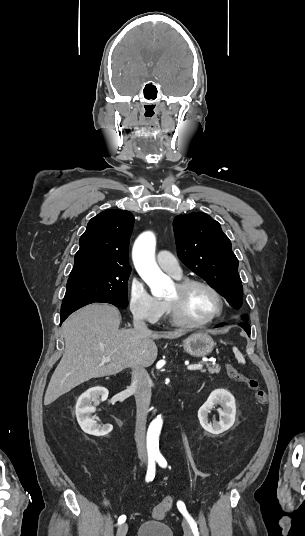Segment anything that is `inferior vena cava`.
<instances>
[{"mask_svg":"<svg viewBox=\"0 0 305 536\" xmlns=\"http://www.w3.org/2000/svg\"><path fill=\"white\" fill-rule=\"evenodd\" d=\"M133 326L135 330H139L142 334H149L143 318L135 314L133 320ZM151 380L149 374H147L144 368H136L132 370V384L129 390H132L136 400V428H135V442L139 458H146V446H145V432L147 414L150 406V400L152 396L151 392Z\"/></svg>","mask_w":305,"mask_h":536,"instance_id":"obj_1","label":"inferior vena cava"}]
</instances>
